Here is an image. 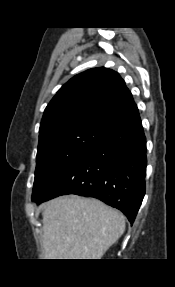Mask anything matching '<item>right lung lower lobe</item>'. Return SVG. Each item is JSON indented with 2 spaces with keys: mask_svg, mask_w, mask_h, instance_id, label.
<instances>
[{
  "mask_svg": "<svg viewBox=\"0 0 175 287\" xmlns=\"http://www.w3.org/2000/svg\"><path fill=\"white\" fill-rule=\"evenodd\" d=\"M146 165V138L138 112L117 123L32 201L39 204L65 194L94 197L133 223L145 194Z\"/></svg>",
  "mask_w": 175,
  "mask_h": 287,
  "instance_id": "right-lung-lower-lobe-1",
  "label": "right lung lower lobe"
}]
</instances>
